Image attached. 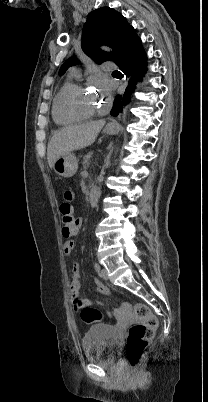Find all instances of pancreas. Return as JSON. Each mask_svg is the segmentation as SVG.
Wrapping results in <instances>:
<instances>
[{
    "label": "pancreas",
    "mask_w": 208,
    "mask_h": 402,
    "mask_svg": "<svg viewBox=\"0 0 208 402\" xmlns=\"http://www.w3.org/2000/svg\"><path fill=\"white\" fill-rule=\"evenodd\" d=\"M91 156H92V154H87V156H84V162H82L84 170H87V168L89 166V164H88L89 158H91Z\"/></svg>",
    "instance_id": "pancreas-1"
}]
</instances>
